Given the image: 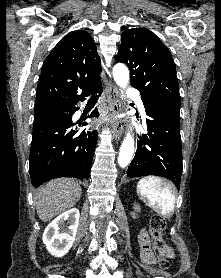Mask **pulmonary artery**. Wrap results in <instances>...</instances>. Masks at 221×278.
<instances>
[{
    "label": "pulmonary artery",
    "instance_id": "e3ab8cb5",
    "mask_svg": "<svg viewBox=\"0 0 221 278\" xmlns=\"http://www.w3.org/2000/svg\"><path fill=\"white\" fill-rule=\"evenodd\" d=\"M128 96L130 98H133L136 101V103H137V105H138V107H139L143 117H145V108H144V105L142 103L139 91L134 89V88H130L128 90Z\"/></svg>",
    "mask_w": 221,
    "mask_h": 278
}]
</instances>
